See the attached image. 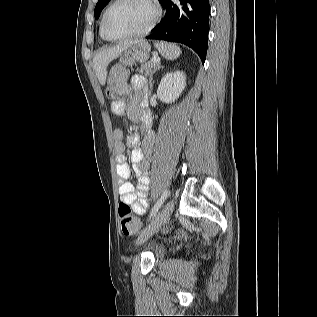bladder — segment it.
<instances>
[{"label": "bladder", "instance_id": "31cf9c89", "mask_svg": "<svg viewBox=\"0 0 317 317\" xmlns=\"http://www.w3.org/2000/svg\"><path fill=\"white\" fill-rule=\"evenodd\" d=\"M138 244V243H137ZM136 243L132 245V249L134 251H138L141 249V247L139 245H137ZM149 250L152 252V254L154 255H159L162 253L163 248L159 245H152L149 247Z\"/></svg>", "mask_w": 317, "mask_h": 317}]
</instances>
